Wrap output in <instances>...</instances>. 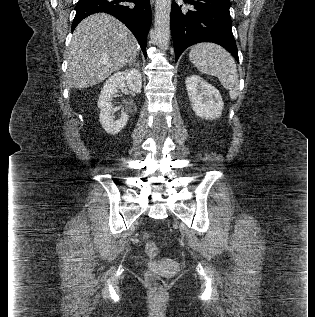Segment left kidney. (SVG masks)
<instances>
[{
    "instance_id": "5707ae66",
    "label": "left kidney",
    "mask_w": 315,
    "mask_h": 317,
    "mask_svg": "<svg viewBox=\"0 0 315 317\" xmlns=\"http://www.w3.org/2000/svg\"><path fill=\"white\" fill-rule=\"evenodd\" d=\"M188 97L197 116L213 120L221 116L224 103L220 92L198 75L185 80Z\"/></svg>"
}]
</instances>
